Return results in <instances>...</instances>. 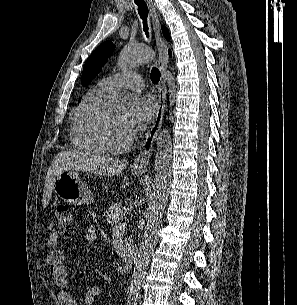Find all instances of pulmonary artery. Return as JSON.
I'll return each mask as SVG.
<instances>
[{
    "mask_svg": "<svg viewBox=\"0 0 297 305\" xmlns=\"http://www.w3.org/2000/svg\"><path fill=\"white\" fill-rule=\"evenodd\" d=\"M98 86L109 94L122 89L138 91L143 89L144 80L136 71L127 70L103 78Z\"/></svg>",
    "mask_w": 297,
    "mask_h": 305,
    "instance_id": "e3ab8cb5",
    "label": "pulmonary artery"
}]
</instances>
